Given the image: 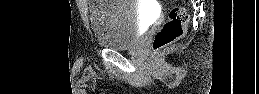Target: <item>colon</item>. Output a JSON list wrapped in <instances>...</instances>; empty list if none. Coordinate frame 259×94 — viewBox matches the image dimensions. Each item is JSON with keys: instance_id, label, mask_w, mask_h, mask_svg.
I'll return each instance as SVG.
<instances>
[{"instance_id": "5ec220e1", "label": "colon", "mask_w": 259, "mask_h": 94, "mask_svg": "<svg viewBox=\"0 0 259 94\" xmlns=\"http://www.w3.org/2000/svg\"><path fill=\"white\" fill-rule=\"evenodd\" d=\"M188 14L183 7H173L168 14L165 23L156 32L153 38V51L157 53L166 48L185 33Z\"/></svg>"}]
</instances>
